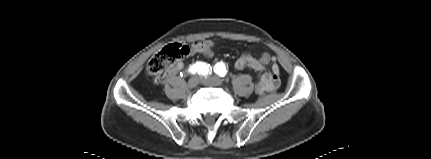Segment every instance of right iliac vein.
Returning <instances> with one entry per match:
<instances>
[{
  "instance_id": "right-iliac-vein-1",
  "label": "right iliac vein",
  "mask_w": 431,
  "mask_h": 159,
  "mask_svg": "<svg viewBox=\"0 0 431 159\" xmlns=\"http://www.w3.org/2000/svg\"><path fill=\"white\" fill-rule=\"evenodd\" d=\"M198 83H199V78L198 77H192L189 79L187 86H188V88L193 89L198 85Z\"/></svg>"
}]
</instances>
